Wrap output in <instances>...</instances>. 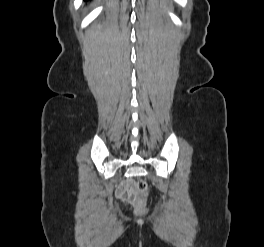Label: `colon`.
Masks as SVG:
<instances>
[{
    "mask_svg": "<svg viewBox=\"0 0 264 247\" xmlns=\"http://www.w3.org/2000/svg\"><path fill=\"white\" fill-rule=\"evenodd\" d=\"M131 194L122 195V199L134 206L136 213L142 214L146 211L148 199V185L145 181H137Z\"/></svg>",
    "mask_w": 264,
    "mask_h": 247,
    "instance_id": "1",
    "label": "colon"
}]
</instances>
